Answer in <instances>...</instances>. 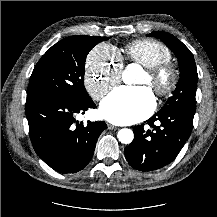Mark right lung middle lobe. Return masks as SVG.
<instances>
[{"instance_id": "right-lung-middle-lobe-1", "label": "right lung middle lobe", "mask_w": 217, "mask_h": 217, "mask_svg": "<svg viewBox=\"0 0 217 217\" xmlns=\"http://www.w3.org/2000/svg\"><path fill=\"white\" fill-rule=\"evenodd\" d=\"M107 39L99 36H70L53 45L32 72L27 101L62 99L83 102L90 99L84 87L86 56L95 45Z\"/></svg>"}]
</instances>
